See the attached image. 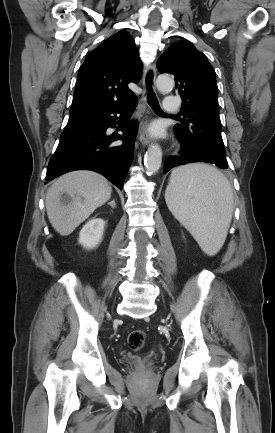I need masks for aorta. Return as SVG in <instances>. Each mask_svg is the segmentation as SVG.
Instances as JSON below:
<instances>
[{"label":"aorta","instance_id":"762f6f07","mask_svg":"<svg viewBox=\"0 0 275 433\" xmlns=\"http://www.w3.org/2000/svg\"><path fill=\"white\" fill-rule=\"evenodd\" d=\"M157 87L160 91L171 90L174 87V80L169 75H160L156 80ZM145 167L148 173H156L162 163V150L157 144H153L149 147L145 159Z\"/></svg>","mask_w":275,"mask_h":433}]
</instances>
